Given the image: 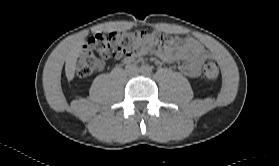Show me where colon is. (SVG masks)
Wrapping results in <instances>:
<instances>
[{
  "label": "colon",
  "mask_w": 279,
  "mask_h": 166,
  "mask_svg": "<svg viewBox=\"0 0 279 166\" xmlns=\"http://www.w3.org/2000/svg\"><path fill=\"white\" fill-rule=\"evenodd\" d=\"M183 44L181 38L168 36L159 31L98 33L81 49L76 63V74L79 77H88L103 70L104 60L127 58L143 48L161 50L181 47ZM203 74L209 80L216 79L219 76L218 64L212 60L205 61Z\"/></svg>",
  "instance_id": "1"
}]
</instances>
